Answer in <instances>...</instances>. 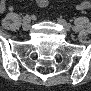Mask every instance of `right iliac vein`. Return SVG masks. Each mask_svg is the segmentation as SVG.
Wrapping results in <instances>:
<instances>
[{
    "label": "right iliac vein",
    "mask_w": 91,
    "mask_h": 91,
    "mask_svg": "<svg viewBox=\"0 0 91 91\" xmlns=\"http://www.w3.org/2000/svg\"><path fill=\"white\" fill-rule=\"evenodd\" d=\"M30 26H31L30 19L23 20V24H22L23 30H25V31L29 30L30 29Z\"/></svg>",
    "instance_id": "1"
}]
</instances>
